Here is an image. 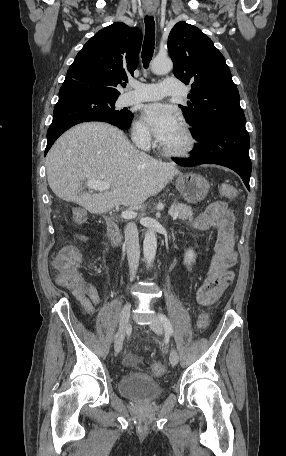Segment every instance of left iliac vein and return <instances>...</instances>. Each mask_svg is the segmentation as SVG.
<instances>
[{
  "label": "left iliac vein",
  "mask_w": 286,
  "mask_h": 456,
  "mask_svg": "<svg viewBox=\"0 0 286 456\" xmlns=\"http://www.w3.org/2000/svg\"><path fill=\"white\" fill-rule=\"evenodd\" d=\"M150 328L152 329L153 332H155L158 335H162V333H163L162 324L157 319L153 320V322L150 324ZM169 360H170L171 365H176L178 363L179 356H178L176 349L172 348V350L170 352Z\"/></svg>",
  "instance_id": "1"
}]
</instances>
